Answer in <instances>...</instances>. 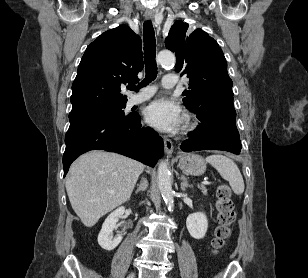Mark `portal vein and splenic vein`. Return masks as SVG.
<instances>
[{
	"label": "portal vein and splenic vein",
	"mask_w": 308,
	"mask_h": 278,
	"mask_svg": "<svg viewBox=\"0 0 308 278\" xmlns=\"http://www.w3.org/2000/svg\"><path fill=\"white\" fill-rule=\"evenodd\" d=\"M202 184L207 185V184H209V182L205 180V181L202 182Z\"/></svg>",
	"instance_id": "obj_1"
}]
</instances>
